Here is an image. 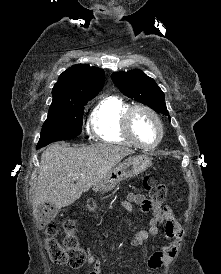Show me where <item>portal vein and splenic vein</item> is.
I'll use <instances>...</instances> for the list:
<instances>
[{
  "label": "portal vein and splenic vein",
  "mask_w": 221,
  "mask_h": 274,
  "mask_svg": "<svg viewBox=\"0 0 221 274\" xmlns=\"http://www.w3.org/2000/svg\"><path fill=\"white\" fill-rule=\"evenodd\" d=\"M79 176H80V174H79V173H76V174L73 175V179H76V178H78Z\"/></svg>",
  "instance_id": "obj_1"
}]
</instances>
